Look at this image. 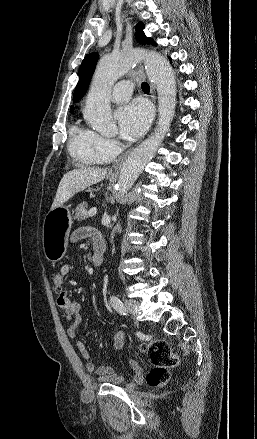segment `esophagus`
Masks as SVG:
<instances>
[{
    "label": "esophagus",
    "instance_id": "esophagus-1",
    "mask_svg": "<svg viewBox=\"0 0 257 439\" xmlns=\"http://www.w3.org/2000/svg\"><path fill=\"white\" fill-rule=\"evenodd\" d=\"M150 87H151V97L153 102L155 103L156 101V91H155V86L150 83ZM131 150L127 151L126 153H124L123 155H121L118 159H116V161L113 164V167L115 169H119L121 168L122 164L124 163V161L126 160L127 156L130 154Z\"/></svg>",
    "mask_w": 257,
    "mask_h": 439
}]
</instances>
